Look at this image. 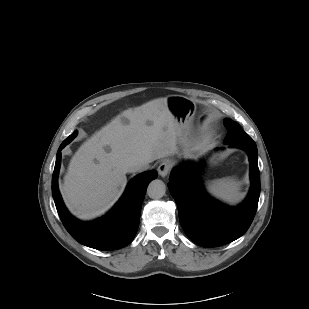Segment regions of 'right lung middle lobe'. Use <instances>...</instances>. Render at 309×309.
<instances>
[{
  "mask_svg": "<svg viewBox=\"0 0 309 309\" xmlns=\"http://www.w3.org/2000/svg\"><path fill=\"white\" fill-rule=\"evenodd\" d=\"M77 134V131H74L73 134H71L70 136H68L65 141H67V143H69Z\"/></svg>",
  "mask_w": 309,
  "mask_h": 309,
  "instance_id": "obj_1",
  "label": "right lung middle lobe"
}]
</instances>
